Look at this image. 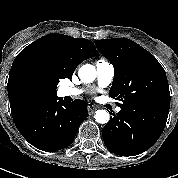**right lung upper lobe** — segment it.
<instances>
[{
  "label": "right lung upper lobe",
  "instance_id": "cb5924a9",
  "mask_svg": "<svg viewBox=\"0 0 178 178\" xmlns=\"http://www.w3.org/2000/svg\"><path fill=\"white\" fill-rule=\"evenodd\" d=\"M96 55L94 44L87 39L57 33L39 38L25 47L12 64L7 84L10 106L29 99L22 87L26 71L37 69L60 79H70L82 61Z\"/></svg>",
  "mask_w": 178,
  "mask_h": 178
}]
</instances>
